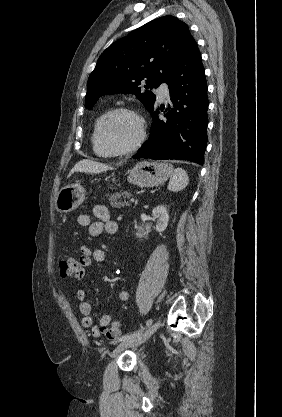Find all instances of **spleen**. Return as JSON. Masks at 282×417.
<instances>
[{
	"label": "spleen",
	"mask_w": 282,
	"mask_h": 417,
	"mask_svg": "<svg viewBox=\"0 0 282 417\" xmlns=\"http://www.w3.org/2000/svg\"><path fill=\"white\" fill-rule=\"evenodd\" d=\"M188 174L184 168H175L173 176H171L168 184L169 190H182L188 184Z\"/></svg>",
	"instance_id": "1"
}]
</instances>
